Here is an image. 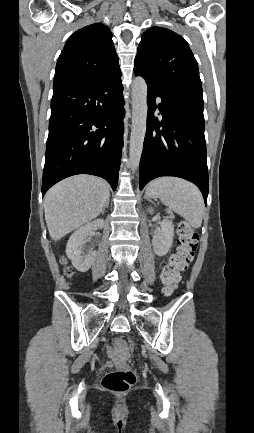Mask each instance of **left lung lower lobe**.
Here are the masks:
<instances>
[{"instance_id":"left-lung-lower-lobe-1","label":"left lung lower lobe","mask_w":254,"mask_h":433,"mask_svg":"<svg viewBox=\"0 0 254 433\" xmlns=\"http://www.w3.org/2000/svg\"><path fill=\"white\" fill-rule=\"evenodd\" d=\"M147 81V130L140 160V190L152 179L175 176L193 182L207 204L208 169L202 99L163 89L134 69ZM162 99L156 105V98ZM159 109L163 118L154 116Z\"/></svg>"}]
</instances>
